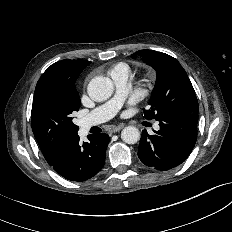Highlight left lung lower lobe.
I'll return each mask as SVG.
<instances>
[{"label": "left lung lower lobe", "instance_id": "obj_1", "mask_svg": "<svg viewBox=\"0 0 232 232\" xmlns=\"http://www.w3.org/2000/svg\"><path fill=\"white\" fill-rule=\"evenodd\" d=\"M154 135L142 131L138 157L146 166L167 171L183 163L197 140L198 113L174 112L159 120Z\"/></svg>", "mask_w": 232, "mask_h": 232}]
</instances>
